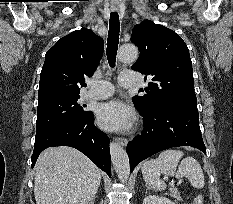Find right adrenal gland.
<instances>
[{
	"instance_id": "1",
	"label": "right adrenal gland",
	"mask_w": 233,
	"mask_h": 204,
	"mask_svg": "<svg viewBox=\"0 0 233 204\" xmlns=\"http://www.w3.org/2000/svg\"><path fill=\"white\" fill-rule=\"evenodd\" d=\"M95 199V198H94ZM94 199L90 202V204H94Z\"/></svg>"
}]
</instances>
